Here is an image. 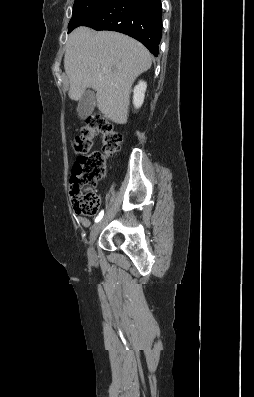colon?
<instances>
[{
  "label": "colon",
  "instance_id": "1",
  "mask_svg": "<svg viewBox=\"0 0 254 397\" xmlns=\"http://www.w3.org/2000/svg\"><path fill=\"white\" fill-rule=\"evenodd\" d=\"M96 135L102 137V148L90 152ZM121 142V133L101 114L88 117L74 137L72 143L78 158L70 177V195L77 214L92 216L97 212L100 197L95 188L105 176L107 162L119 151Z\"/></svg>",
  "mask_w": 254,
  "mask_h": 397
}]
</instances>
